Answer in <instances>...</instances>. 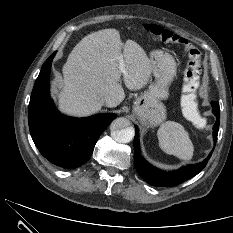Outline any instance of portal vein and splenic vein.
I'll list each match as a JSON object with an SVG mask.
<instances>
[{"label":"portal vein and splenic vein","instance_id":"obj_1","mask_svg":"<svg viewBox=\"0 0 233 233\" xmlns=\"http://www.w3.org/2000/svg\"><path fill=\"white\" fill-rule=\"evenodd\" d=\"M118 61H119V70H120V72L125 73V63H124L123 55H120L118 57Z\"/></svg>","mask_w":233,"mask_h":233}]
</instances>
